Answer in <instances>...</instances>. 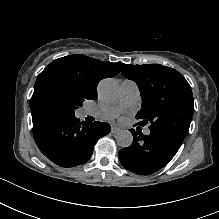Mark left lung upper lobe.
I'll list each match as a JSON object with an SVG mask.
<instances>
[{
    "instance_id": "5c2ea615",
    "label": "left lung upper lobe",
    "mask_w": 219,
    "mask_h": 219,
    "mask_svg": "<svg viewBox=\"0 0 219 219\" xmlns=\"http://www.w3.org/2000/svg\"><path fill=\"white\" fill-rule=\"evenodd\" d=\"M123 75L139 86L142 108L138 125L148 122L150 131L160 132L183 142L194 112L189 83L177 70L159 64L131 65Z\"/></svg>"
}]
</instances>
